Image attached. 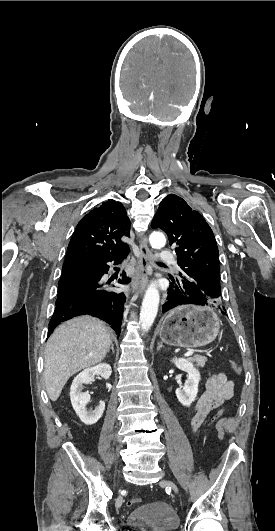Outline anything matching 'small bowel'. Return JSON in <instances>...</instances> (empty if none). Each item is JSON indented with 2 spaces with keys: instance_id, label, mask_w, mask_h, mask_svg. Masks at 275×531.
I'll return each mask as SVG.
<instances>
[{
  "instance_id": "small-bowel-1",
  "label": "small bowel",
  "mask_w": 275,
  "mask_h": 531,
  "mask_svg": "<svg viewBox=\"0 0 275 531\" xmlns=\"http://www.w3.org/2000/svg\"><path fill=\"white\" fill-rule=\"evenodd\" d=\"M234 390L235 383L228 378L225 372L212 373L206 378L190 420L193 433L198 431L211 411L218 409L224 402L234 397Z\"/></svg>"
}]
</instances>
